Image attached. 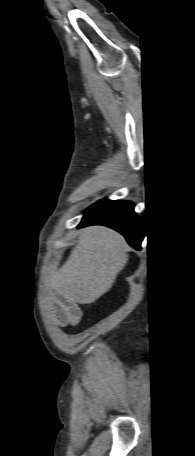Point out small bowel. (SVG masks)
<instances>
[{
	"label": "small bowel",
	"instance_id": "c3829d8e",
	"mask_svg": "<svg viewBox=\"0 0 195 456\" xmlns=\"http://www.w3.org/2000/svg\"><path fill=\"white\" fill-rule=\"evenodd\" d=\"M52 316L59 325L76 324L81 316L79 307L72 301L57 297L51 305Z\"/></svg>",
	"mask_w": 195,
	"mask_h": 456
}]
</instances>
